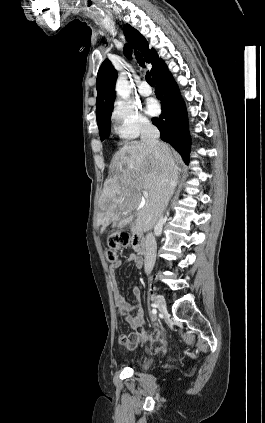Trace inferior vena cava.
Wrapping results in <instances>:
<instances>
[{"instance_id": "1", "label": "inferior vena cava", "mask_w": 265, "mask_h": 423, "mask_svg": "<svg viewBox=\"0 0 265 423\" xmlns=\"http://www.w3.org/2000/svg\"><path fill=\"white\" fill-rule=\"evenodd\" d=\"M160 137V132L158 128L151 124L150 122H146L143 124L141 129V142L146 144L155 149V153L157 157H161L162 153L166 152V147L161 143L158 139ZM173 186V181L170 179L167 181V185L165 186L163 192V200L165 206L167 205L170 192ZM156 250L157 244L154 234L148 233L145 237V272L147 274L151 273L156 261Z\"/></svg>"}]
</instances>
